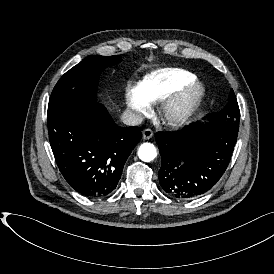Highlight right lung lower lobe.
Returning <instances> with one entry per match:
<instances>
[{
	"mask_svg": "<svg viewBox=\"0 0 274 274\" xmlns=\"http://www.w3.org/2000/svg\"><path fill=\"white\" fill-rule=\"evenodd\" d=\"M141 131V127L118 126L98 102L68 106L48 116L58 168L69 185L88 198L114 191Z\"/></svg>",
	"mask_w": 274,
	"mask_h": 274,
	"instance_id": "98d812e1",
	"label": "right lung lower lobe"
}]
</instances>
